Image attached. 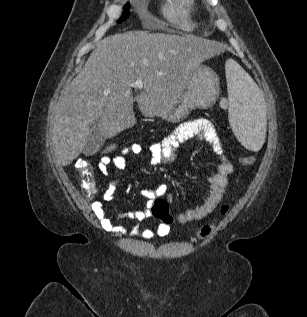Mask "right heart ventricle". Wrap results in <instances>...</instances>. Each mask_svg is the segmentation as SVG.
Segmentation results:
<instances>
[{
    "label": "right heart ventricle",
    "mask_w": 307,
    "mask_h": 317,
    "mask_svg": "<svg viewBox=\"0 0 307 317\" xmlns=\"http://www.w3.org/2000/svg\"><path fill=\"white\" fill-rule=\"evenodd\" d=\"M162 12L168 22L184 31H195L201 26L195 0H165Z\"/></svg>",
    "instance_id": "e07e8e85"
}]
</instances>
